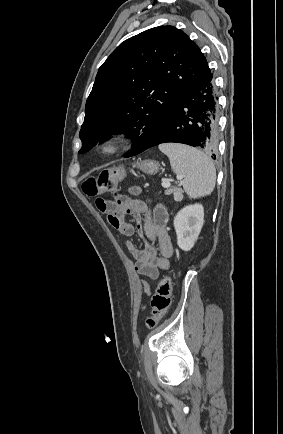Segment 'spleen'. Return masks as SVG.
<instances>
[{
	"label": "spleen",
	"instance_id": "3e777b00",
	"mask_svg": "<svg viewBox=\"0 0 283 434\" xmlns=\"http://www.w3.org/2000/svg\"><path fill=\"white\" fill-rule=\"evenodd\" d=\"M172 170L183 178V188L190 198L210 195L215 187L216 170L212 160L198 149L182 144H162Z\"/></svg>",
	"mask_w": 283,
	"mask_h": 434
}]
</instances>
